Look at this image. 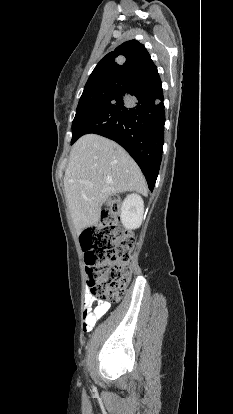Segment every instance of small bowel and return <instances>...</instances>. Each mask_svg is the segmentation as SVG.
<instances>
[{
  "label": "small bowel",
  "mask_w": 233,
  "mask_h": 414,
  "mask_svg": "<svg viewBox=\"0 0 233 414\" xmlns=\"http://www.w3.org/2000/svg\"><path fill=\"white\" fill-rule=\"evenodd\" d=\"M87 294L84 299V315H83V328L84 331H91L96 325L97 321L107 313L110 309V303L105 300L99 301L95 306V298L89 294L90 288L86 289Z\"/></svg>",
  "instance_id": "c3829d8e"
}]
</instances>
